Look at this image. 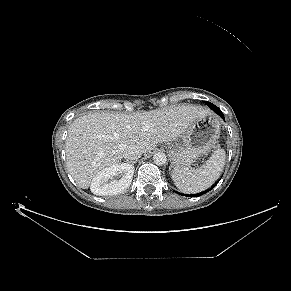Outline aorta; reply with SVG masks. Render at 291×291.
I'll return each mask as SVG.
<instances>
[{
  "label": "aorta",
  "instance_id": "aorta-1",
  "mask_svg": "<svg viewBox=\"0 0 291 291\" xmlns=\"http://www.w3.org/2000/svg\"><path fill=\"white\" fill-rule=\"evenodd\" d=\"M153 161L156 165H164L167 161V157L163 152H157L153 155Z\"/></svg>",
  "mask_w": 291,
  "mask_h": 291
}]
</instances>
